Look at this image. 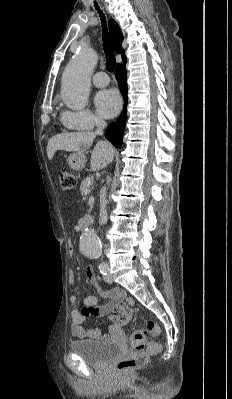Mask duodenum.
<instances>
[{"instance_id":"obj_1","label":"duodenum","mask_w":232,"mask_h":399,"mask_svg":"<svg viewBox=\"0 0 232 399\" xmlns=\"http://www.w3.org/2000/svg\"><path fill=\"white\" fill-rule=\"evenodd\" d=\"M87 226H88V220H87L86 218L82 219L81 222H80V227H81V229H82V230H83V229H86Z\"/></svg>"}]
</instances>
